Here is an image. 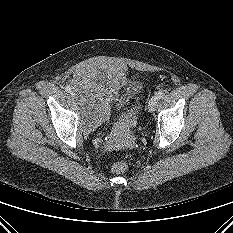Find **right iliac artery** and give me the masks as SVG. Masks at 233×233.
<instances>
[{"label": "right iliac artery", "mask_w": 233, "mask_h": 233, "mask_svg": "<svg viewBox=\"0 0 233 233\" xmlns=\"http://www.w3.org/2000/svg\"><path fill=\"white\" fill-rule=\"evenodd\" d=\"M65 90H66L67 92H70V91H71L70 86H66Z\"/></svg>", "instance_id": "82829eb1"}]
</instances>
